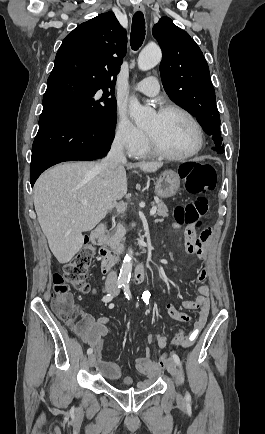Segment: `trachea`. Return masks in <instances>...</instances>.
<instances>
[{
	"label": "trachea",
	"instance_id": "3493384b",
	"mask_svg": "<svg viewBox=\"0 0 265 434\" xmlns=\"http://www.w3.org/2000/svg\"><path fill=\"white\" fill-rule=\"evenodd\" d=\"M145 38V20L141 11L134 14L132 20V29L130 36V43L132 49L137 50L143 43Z\"/></svg>",
	"mask_w": 265,
	"mask_h": 434
}]
</instances>
